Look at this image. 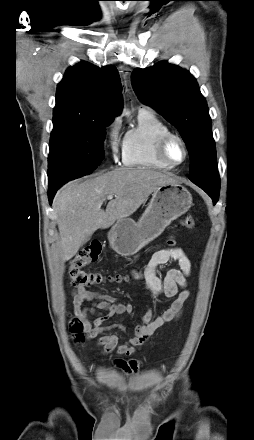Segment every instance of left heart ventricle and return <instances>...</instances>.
<instances>
[{
    "label": "left heart ventricle",
    "mask_w": 254,
    "mask_h": 440,
    "mask_svg": "<svg viewBox=\"0 0 254 440\" xmlns=\"http://www.w3.org/2000/svg\"><path fill=\"white\" fill-rule=\"evenodd\" d=\"M169 158L176 163H179L183 159V150L181 145L177 141H172L167 150Z\"/></svg>",
    "instance_id": "b2bd125f"
}]
</instances>
